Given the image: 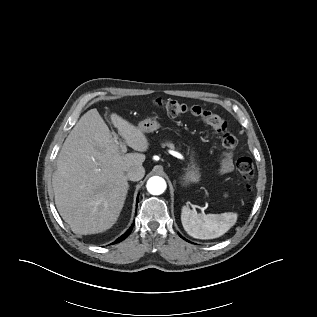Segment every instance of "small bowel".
<instances>
[{
  "mask_svg": "<svg viewBox=\"0 0 317 317\" xmlns=\"http://www.w3.org/2000/svg\"><path fill=\"white\" fill-rule=\"evenodd\" d=\"M232 170H233L232 154L227 153L222 157V159L220 161L219 172L221 174H226V173L231 172Z\"/></svg>",
  "mask_w": 317,
  "mask_h": 317,
  "instance_id": "1",
  "label": "small bowel"
}]
</instances>
